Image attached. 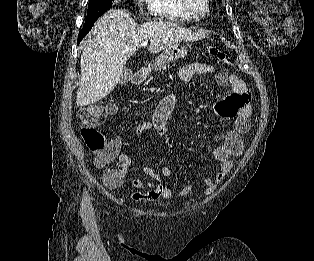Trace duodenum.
<instances>
[{"label": "duodenum", "instance_id": "duodenum-1", "mask_svg": "<svg viewBox=\"0 0 314 261\" xmlns=\"http://www.w3.org/2000/svg\"><path fill=\"white\" fill-rule=\"evenodd\" d=\"M146 79V72L145 71H137L134 75H133V78H132V82L134 84H141L145 81Z\"/></svg>", "mask_w": 314, "mask_h": 261}]
</instances>
